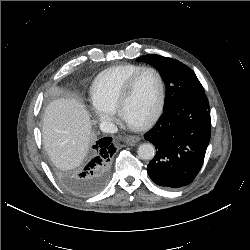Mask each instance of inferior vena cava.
<instances>
[{
	"mask_svg": "<svg viewBox=\"0 0 250 250\" xmlns=\"http://www.w3.org/2000/svg\"><path fill=\"white\" fill-rule=\"evenodd\" d=\"M100 129L104 133H116L117 132V126L114 123L107 121V120H103L100 123Z\"/></svg>",
	"mask_w": 250,
	"mask_h": 250,
	"instance_id": "602c4592",
	"label": "inferior vena cava"
}]
</instances>
